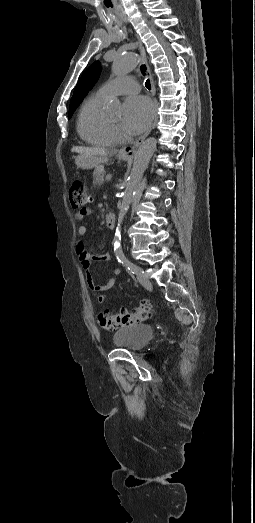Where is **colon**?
Here are the masks:
<instances>
[{
  "mask_svg": "<svg viewBox=\"0 0 255 523\" xmlns=\"http://www.w3.org/2000/svg\"><path fill=\"white\" fill-rule=\"evenodd\" d=\"M69 201L73 208L82 209L88 202L85 186L81 181H74L69 190ZM102 300V296L99 297ZM152 306L143 302L134 312L123 311L118 314L102 312L98 315V323L106 330H113L121 326L138 324L150 319Z\"/></svg>",
  "mask_w": 255,
  "mask_h": 523,
  "instance_id": "1",
  "label": "colon"
}]
</instances>
